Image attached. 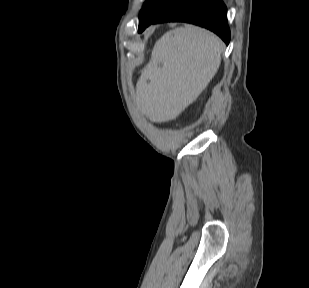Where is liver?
<instances>
[{
	"mask_svg": "<svg viewBox=\"0 0 309 288\" xmlns=\"http://www.w3.org/2000/svg\"><path fill=\"white\" fill-rule=\"evenodd\" d=\"M222 41L210 31L186 25L166 32L136 85V103L152 122L175 119L217 73Z\"/></svg>",
	"mask_w": 309,
	"mask_h": 288,
	"instance_id": "liver-1",
	"label": "liver"
}]
</instances>
